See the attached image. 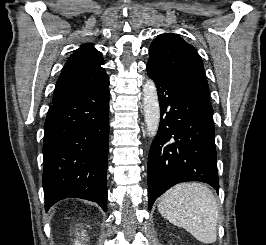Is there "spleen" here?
<instances>
[{
  "mask_svg": "<svg viewBox=\"0 0 266 245\" xmlns=\"http://www.w3.org/2000/svg\"><path fill=\"white\" fill-rule=\"evenodd\" d=\"M158 211L169 223L186 229L200 243L210 245L217 241L218 205L206 185H175L160 197Z\"/></svg>",
  "mask_w": 266,
  "mask_h": 245,
  "instance_id": "spleen-1",
  "label": "spleen"
}]
</instances>
